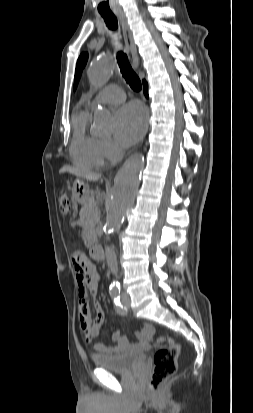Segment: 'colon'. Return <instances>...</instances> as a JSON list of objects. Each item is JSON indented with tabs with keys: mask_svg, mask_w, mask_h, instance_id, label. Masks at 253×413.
<instances>
[{
	"mask_svg": "<svg viewBox=\"0 0 253 413\" xmlns=\"http://www.w3.org/2000/svg\"><path fill=\"white\" fill-rule=\"evenodd\" d=\"M59 207L63 215L69 214L71 202L66 193L60 195ZM155 344L158 350L154 355V366L147 384V390L151 394H156L163 382L176 372L180 352L179 343L165 335L158 336Z\"/></svg>",
	"mask_w": 253,
	"mask_h": 413,
	"instance_id": "1",
	"label": "colon"
}]
</instances>
